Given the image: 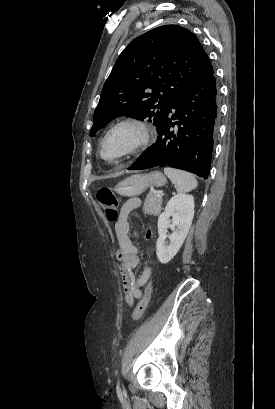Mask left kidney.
Returning <instances> with one entry per match:
<instances>
[{
	"mask_svg": "<svg viewBox=\"0 0 275 409\" xmlns=\"http://www.w3.org/2000/svg\"><path fill=\"white\" fill-rule=\"evenodd\" d=\"M194 207V198L191 194H174L167 202L164 213H161L158 219L159 237L156 243V255L163 265L169 263L182 247L192 225ZM170 217H172V225H170ZM169 227L171 229L177 227V229L170 235V243L166 245Z\"/></svg>",
	"mask_w": 275,
	"mask_h": 409,
	"instance_id": "left-kidney-1",
	"label": "left kidney"
}]
</instances>
